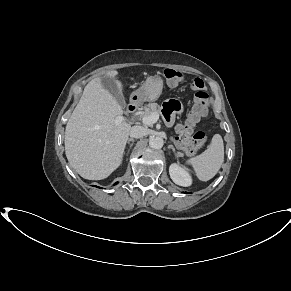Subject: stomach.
<instances>
[{
	"label": "stomach",
	"instance_id": "stomach-1",
	"mask_svg": "<svg viewBox=\"0 0 291 291\" xmlns=\"http://www.w3.org/2000/svg\"><path fill=\"white\" fill-rule=\"evenodd\" d=\"M163 91V80L160 76H149L142 86L134 91L131 100L135 103L157 100Z\"/></svg>",
	"mask_w": 291,
	"mask_h": 291
}]
</instances>
